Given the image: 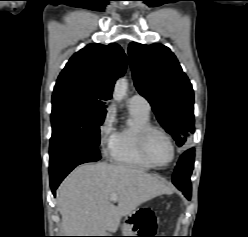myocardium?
<instances>
[{"mask_svg":"<svg viewBox=\"0 0 248 237\" xmlns=\"http://www.w3.org/2000/svg\"><path fill=\"white\" fill-rule=\"evenodd\" d=\"M153 132H158V133L162 134L168 140V142H169V144L171 146V157H170L169 161L166 164H163V165L156 164L151 160V158L148 155V152H147V140H148L150 134L153 133ZM137 140H138L139 151H140L142 157L153 168L164 169V168L168 167L174 161L175 156H176V146H175V143H174L171 135L166 130H164L163 128L158 127V126H153V125L145 126L139 131Z\"/></svg>","mask_w":248,"mask_h":237,"instance_id":"f54148a6","label":"myocardium"}]
</instances>
